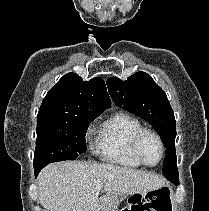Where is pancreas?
I'll return each mask as SVG.
<instances>
[{"label": "pancreas", "instance_id": "obj_1", "mask_svg": "<svg viewBox=\"0 0 209 211\" xmlns=\"http://www.w3.org/2000/svg\"><path fill=\"white\" fill-rule=\"evenodd\" d=\"M101 203L105 207L104 211H115L119 205V200L111 193H107L104 198L101 199Z\"/></svg>", "mask_w": 209, "mask_h": 211}]
</instances>
